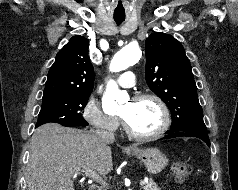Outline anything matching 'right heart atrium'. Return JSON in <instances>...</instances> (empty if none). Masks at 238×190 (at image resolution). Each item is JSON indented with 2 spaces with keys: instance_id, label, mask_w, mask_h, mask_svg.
<instances>
[{
  "instance_id": "1",
  "label": "right heart atrium",
  "mask_w": 238,
  "mask_h": 190,
  "mask_svg": "<svg viewBox=\"0 0 238 190\" xmlns=\"http://www.w3.org/2000/svg\"><path fill=\"white\" fill-rule=\"evenodd\" d=\"M83 118L94 128L105 132H115L120 123L118 117L105 113L94 97L86 102Z\"/></svg>"
}]
</instances>
